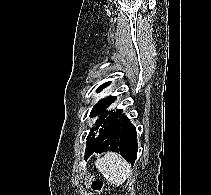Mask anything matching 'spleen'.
Returning a JSON list of instances; mask_svg holds the SVG:
<instances>
[{"instance_id":"spleen-1","label":"spleen","mask_w":211,"mask_h":195,"mask_svg":"<svg viewBox=\"0 0 211 195\" xmlns=\"http://www.w3.org/2000/svg\"><path fill=\"white\" fill-rule=\"evenodd\" d=\"M96 167L112 184H123L132 174L131 165L116 153H107L96 161Z\"/></svg>"}]
</instances>
